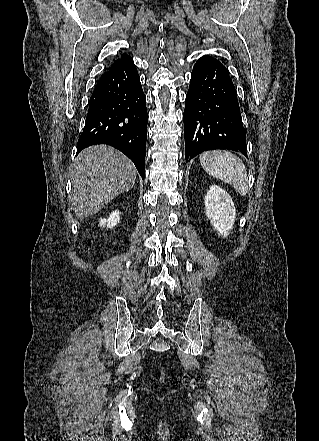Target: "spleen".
<instances>
[{"label":"spleen","instance_id":"spleen-1","mask_svg":"<svg viewBox=\"0 0 319 441\" xmlns=\"http://www.w3.org/2000/svg\"><path fill=\"white\" fill-rule=\"evenodd\" d=\"M199 159L209 175L231 184L239 194H247V171L239 157L228 151H206Z\"/></svg>","mask_w":319,"mask_h":441}]
</instances>
